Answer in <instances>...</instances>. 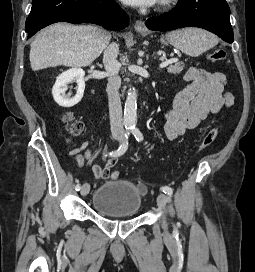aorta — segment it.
Listing matches in <instances>:
<instances>
[{
  "label": "aorta",
  "mask_w": 255,
  "mask_h": 272,
  "mask_svg": "<svg viewBox=\"0 0 255 272\" xmlns=\"http://www.w3.org/2000/svg\"><path fill=\"white\" fill-rule=\"evenodd\" d=\"M123 123L127 129H132L137 123V93L134 88L129 89L125 101Z\"/></svg>",
  "instance_id": "1"
}]
</instances>
